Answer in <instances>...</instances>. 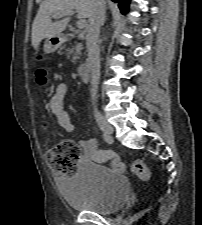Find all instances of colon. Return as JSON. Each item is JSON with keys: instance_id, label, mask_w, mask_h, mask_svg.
<instances>
[{"instance_id": "obj_1", "label": "colon", "mask_w": 202, "mask_h": 225, "mask_svg": "<svg viewBox=\"0 0 202 225\" xmlns=\"http://www.w3.org/2000/svg\"><path fill=\"white\" fill-rule=\"evenodd\" d=\"M37 82L43 84L46 71L43 68L37 70ZM46 158L49 167L57 176L67 178L71 176L77 167L80 158V150L76 143L64 141L56 146L49 147L46 151ZM105 159L110 160L112 167L117 171L125 168L123 161L114 153L105 154ZM131 171L143 181L149 179L150 170L147 163L142 159H136L132 162Z\"/></svg>"}]
</instances>
